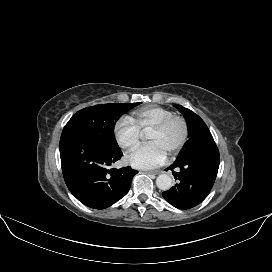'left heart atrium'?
<instances>
[{
	"label": "left heart atrium",
	"mask_w": 272,
	"mask_h": 272,
	"mask_svg": "<svg viewBox=\"0 0 272 272\" xmlns=\"http://www.w3.org/2000/svg\"><path fill=\"white\" fill-rule=\"evenodd\" d=\"M166 150L157 142L140 146L128 156L129 163L140 169H152L160 166L166 160Z\"/></svg>",
	"instance_id": "1"
}]
</instances>
